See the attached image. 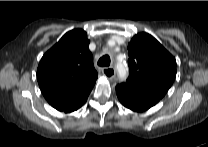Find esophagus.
<instances>
[{
	"mask_svg": "<svg viewBox=\"0 0 208 147\" xmlns=\"http://www.w3.org/2000/svg\"><path fill=\"white\" fill-rule=\"evenodd\" d=\"M102 73L105 77H107L110 80L114 79L115 77V69L113 66L103 68Z\"/></svg>",
	"mask_w": 208,
	"mask_h": 147,
	"instance_id": "1",
	"label": "esophagus"
}]
</instances>
